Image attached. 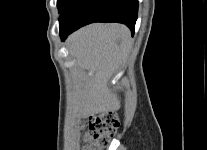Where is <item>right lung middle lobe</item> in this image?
I'll return each mask as SVG.
<instances>
[{
    "label": "right lung middle lobe",
    "instance_id": "1",
    "mask_svg": "<svg viewBox=\"0 0 207 150\" xmlns=\"http://www.w3.org/2000/svg\"><path fill=\"white\" fill-rule=\"evenodd\" d=\"M72 0H57V7L59 13H61L70 3Z\"/></svg>",
    "mask_w": 207,
    "mask_h": 150
}]
</instances>
